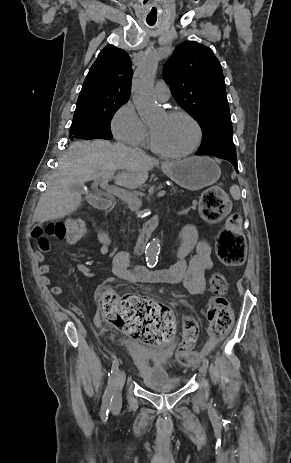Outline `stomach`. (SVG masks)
<instances>
[{"label": "stomach", "mask_w": 291, "mask_h": 463, "mask_svg": "<svg viewBox=\"0 0 291 463\" xmlns=\"http://www.w3.org/2000/svg\"><path fill=\"white\" fill-rule=\"evenodd\" d=\"M162 170L179 186L193 191L214 184L221 175L217 163L205 156L167 162L162 165Z\"/></svg>", "instance_id": "stomach-1"}]
</instances>
